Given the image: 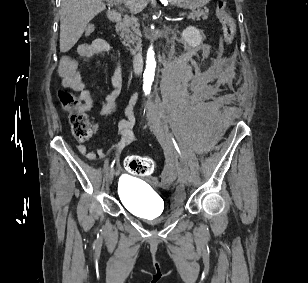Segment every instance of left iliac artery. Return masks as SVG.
I'll return each mask as SVG.
<instances>
[{"label":"left iliac artery","instance_id":"left-iliac-artery-1","mask_svg":"<svg viewBox=\"0 0 308 283\" xmlns=\"http://www.w3.org/2000/svg\"><path fill=\"white\" fill-rule=\"evenodd\" d=\"M172 140H173V143H174V146H175L176 150H177L178 153L181 155L180 149H179V147H178L176 141H175L173 138H172Z\"/></svg>","mask_w":308,"mask_h":283}]
</instances>
